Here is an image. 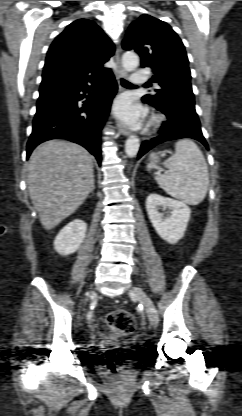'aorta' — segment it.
<instances>
[{
  "instance_id": "obj_1",
  "label": "aorta",
  "mask_w": 242,
  "mask_h": 416,
  "mask_svg": "<svg viewBox=\"0 0 242 416\" xmlns=\"http://www.w3.org/2000/svg\"><path fill=\"white\" fill-rule=\"evenodd\" d=\"M139 65V57L132 51H127L122 56V66L126 71H134ZM140 147V141L137 136H130L125 143V153L129 157L137 155Z\"/></svg>"
}]
</instances>
